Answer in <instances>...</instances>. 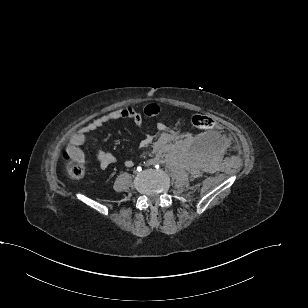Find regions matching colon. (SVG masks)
<instances>
[{
  "mask_svg": "<svg viewBox=\"0 0 308 308\" xmlns=\"http://www.w3.org/2000/svg\"><path fill=\"white\" fill-rule=\"evenodd\" d=\"M192 125L198 130H209L213 127V119L206 114L196 113L191 116ZM66 170L71 178H81L85 173V163L80 159H75L66 155Z\"/></svg>",
  "mask_w": 308,
  "mask_h": 308,
  "instance_id": "5ec220e1",
  "label": "colon"
}]
</instances>
